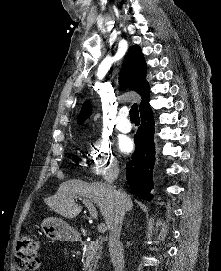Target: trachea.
<instances>
[{"instance_id":"1","label":"trachea","mask_w":221,"mask_h":271,"mask_svg":"<svg viewBox=\"0 0 221 271\" xmlns=\"http://www.w3.org/2000/svg\"><path fill=\"white\" fill-rule=\"evenodd\" d=\"M129 115H130L131 121H140L137 103H134V105H132V107L129 111Z\"/></svg>"}]
</instances>
